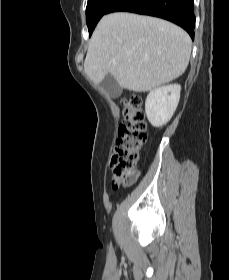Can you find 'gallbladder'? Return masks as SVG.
Instances as JSON below:
<instances>
[{"label":"gallbladder","mask_w":229,"mask_h":280,"mask_svg":"<svg viewBox=\"0 0 229 280\" xmlns=\"http://www.w3.org/2000/svg\"><path fill=\"white\" fill-rule=\"evenodd\" d=\"M100 86L111 98H117L121 95L122 89L111 74H107L104 77V79L100 83Z\"/></svg>","instance_id":"1"}]
</instances>
